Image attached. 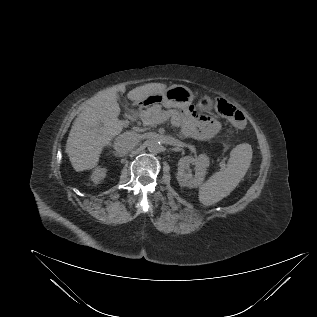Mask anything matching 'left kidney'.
<instances>
[{
    "label": "left kidney",
    "instance_id": "5707ae66",
    "mask_svg": "<svg viewBox=\"0 0 317 317\" xmlns=\"http://www.w3.org/2000/svg\"><path fill=\"white\" fill-rule=\"evenodd\" d=\"M209 162V157L206 154H200L195 158L192 156L181 158L178 162L177 173L179 184L188 188L200 187L204 181ZM190 165H194V175L191 173Z\"/></svg>",
    "mask_w": 317,
    "mask_h": 317
}]
</instances>
